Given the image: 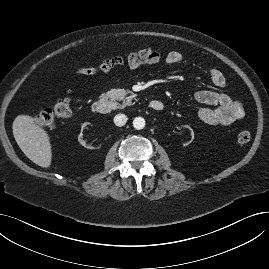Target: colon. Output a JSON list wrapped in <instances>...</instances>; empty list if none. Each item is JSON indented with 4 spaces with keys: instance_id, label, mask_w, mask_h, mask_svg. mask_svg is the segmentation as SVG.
<instances>
[{
    "instance_id": "obj_1",
    "label": "colon",
    "mask_w": 269,
    "mask_h": 269,
    "mask_svg": "<svg viewBox=\"0 0 269 269\" xmlns=\"http://www.w3.org/2000/svg\"><path fill=\"white\" fill-rule=\"evenodd\" d=\"M72 113L71 101L69 98H62L50 108L42 111L36 118L37 123L47 130H52L60 119L70 117ZM251 139V130L248 127L241 129L237 135L239 144H246Z\"/></svg>"
}]
</instances>
